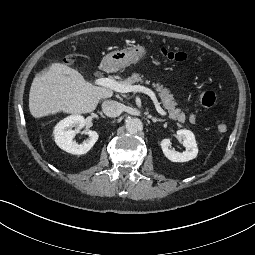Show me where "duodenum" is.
I'll return each mask as SVG.
<instances>
[{
    "instance_id": "duodenum-1",
    "label": "duodenum",
    "mask_w": 255,
    "mask_h": 255,
    "mask_svg": "<svg viewBox=\"0 0 255 255\" xmlns=\"http://www.w3.org/2000/svg\"><path fill=\"white\" fill-rule=\"evenodd\" d=\"M107 66H108V64H107V63H104V64L102 65V67L100 68V71H101V72H107V71H108Z\"/></svg>"
}]
</instances>
